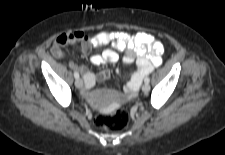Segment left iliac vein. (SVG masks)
Returning <instances> with one entry per match:
<instances>
[{"mask_svg":"<svg viewBox=\"0 0 225 155\" xmlns=\"http://www.w3.org/2000/svg\"><path fill=\"white\" fill-rule=\"evenodd\" d=\"M149 90H150V85L148 83L143 84L142 91L146 93Z\"/></svg>","mask_w":225,"mask_h":155,"instance_id":"1","label":"left iliac vein"}]
</instances>
